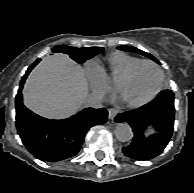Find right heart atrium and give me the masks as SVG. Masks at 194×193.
Listing matches in <instances>:
<instances>
[{
  "instance_id": "right-heart-atrium-1",
  "label": "right heart atrium",
  "mask_w": 194,
  "mask_h": 193,
  "mask_svg": "<svg viewBox=\"0 0 194 193\" xmlns=\"http://www.w3.org/2000/svg\"><path fill=\"white\" fill-rule=\"evenodd\" d=\"M84 73L94 95L101 97L110 91V85L102 76L95 62L88 61L84 66Z\"/></svg>"
}]
</instances>
